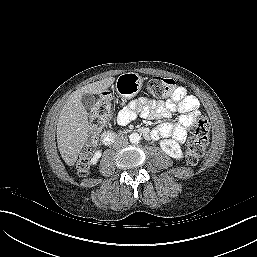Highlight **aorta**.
I'll return each mask as SVG.
<instances>
[{"instance_id": "obj_1", "label": "aorta", "mask_w": 257, "mask_h": 257, "mask_svg": "<svg viewBox=\"0 0 257 257\" xmlns=\"http://www.w3.org/2000/svg\"><path fill=\"white\" fill-rule=\"evenodd\" d=\"M141 136L138 133H132L129 136V140L132 144H138L140 142Z\"/></svg>"}]
</instances>
